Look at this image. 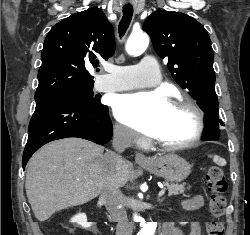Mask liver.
Here are the masks:
<instances>
[{
    "label": "liver",
    "instance_id": "liver-1",
    "mask_svg": "<svg viewBox=\"0 0 250 235\" xmlns=\"http://www.w3.org/2000/svg\"><path fill=\"white\" fill-rule=\"evenodd\" d=\"M104 148L81 138L57 140L42 147L28 162L25 189L35 217L44 222L55 212L84 204L101 193V181L124 186L130 164L119 163L105 176Z\"/></svg>",
    "mask_w": 250,
    "mask_h": 235
}]
</instances>
